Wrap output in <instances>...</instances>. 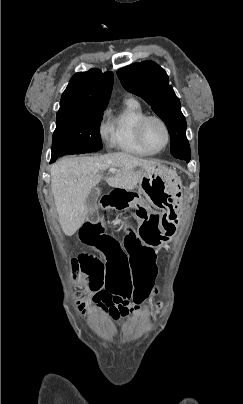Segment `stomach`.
Segmentation results:
<instances>
[{"label":"stomach","mask_w":243,"mask_h":404,"mask_svg":"<svg viewBox=\"0 0 243 404\" xmlns=\"http://www.w3.org/2000/svg\"><path fill=\"white\" fill-rule=\"evenodd\" d=\"M139 191L144 198L138 196L130 203L139 224L138 236L147 247H160L173 237L178 225L181 180L174 171L157 163L143 172Z\"/></svg>","instance_id":"0dacf381"}]
</instances>
